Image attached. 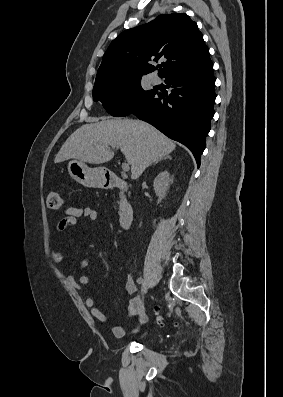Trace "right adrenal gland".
<instances>
[{
    "label": "right adrenal gland",
    "instance_id": "2a0ac1e0",
    "mask_svg": "<svg viewBox=\"0 0 283 397\" xmlns=\"http://www.w3.org/2000/svg\"><path fill=\"white\" fill-rule=\"evenodd\" d=\"M164 159H171V156L167 155V156H164L163 158H159L158 160H156V161L153 163V165L157 164L158 162H160V161H162V160H164Z\"/></svg>",
    "mask_w": 283,
    "mask_h": 397
}]
</instances>
